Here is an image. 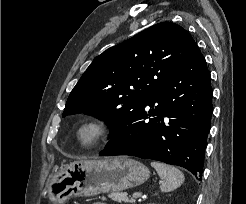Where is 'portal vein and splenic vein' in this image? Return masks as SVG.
<instances>
[{"instance_id":"18ae733b","label":"portal vein and splenic vein","mask_w":246,"mask_h":204,"mask_svg":"<svg viewBox=\"0 0 246 204\" xmlns=\"http://www.w3.org/2000/svg\"><path fill=\"white\" fill-rule=\"evenodd\" d=\"M140 195H141V193H135V194H133V198L138 197Z\"/></svg>"}]
</instances>
